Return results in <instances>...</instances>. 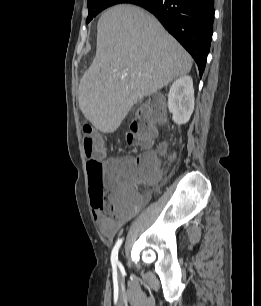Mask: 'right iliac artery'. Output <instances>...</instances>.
Returning a JSON list of instances; mask_svg holds the SVG:
<instances>
[{
  "label": "right iliac artery",
  "mask_w": 261,
  "mask_h": 306,
  "mask_svg": "<svg viewBox=\"0 0 261 306\" xmlns=\"http://www.w3.org/2000/svg\"><path fill=\"white\" fill-rule=\"evenodd\" d=\"M122 241H123V239L121 238V239H119L117 242H116V244H115V246H114V248H113V250H112V253H111V263H112V266L115 268L116 266H117V264H118V251H119V248H120V246H121V244H122Z\"/></svg>",
  "instance_id": "1"
}]
</instances>
